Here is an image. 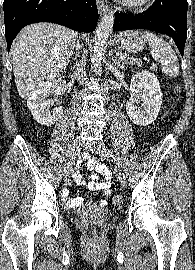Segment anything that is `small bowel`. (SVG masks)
Masks as SVG:
<instances>
[{"mask_svg": "<svg viewBox=\"0 0 195 270\" xmlns=\"http://www.w3.org/2000/svg\"><path fill=\"white\" fill-rule=\"evenodd\" d=\"M82 160L86 162L88 169L96 172L89 176L87 187L92 191H102L105 196H109L111 193L113 178L111 170L104 162H101L87 154L83 155ZM98 174L104 178L103 181L98 180ZM76 181L79 184L85 183L79 176L76 177ZM82 203L83 199L81 197L67 200V205L70 207L79 206ZM102 204H106V201H102Z\"/></svg>", "mask_w": 195, "mask_h": 270, "instance_id": "1", "label": "small bowel"}]
</instances>
